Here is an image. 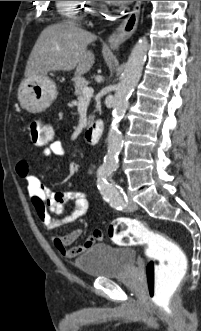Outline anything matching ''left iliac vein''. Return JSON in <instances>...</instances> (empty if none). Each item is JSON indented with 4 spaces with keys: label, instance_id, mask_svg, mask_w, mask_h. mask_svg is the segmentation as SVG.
Here are the masks:
<instances>
[{
    "label": "left iliac vein",
    "instance_id": "4c4485c4",
    "mask_svg": "<svg viewBox=\"0 0 201 331\" xmlns=\"http://www.w3.org/2000/svg\"><path fill=\"white\" fill-rule=\"evenodd\" d=\"M130 209L131 210L137 209V204L135 202H133V201H130Z\"/></svg>",
    "mask_w": 201,
    "mask_h": 331
}]
</instances>
